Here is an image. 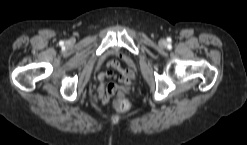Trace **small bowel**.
<instances>
[{
    "mask_svg": "<svg viewBox=\"0 0 247 145\" xmlns=\"http://www.w3.org/2000/svg\"><path fill=\"white\" fill-rule=\"evenodd\" d=\"M106 67H110L119 71V75L116 76L112 72H100L97 76L99 82V96L103 104H107L110 100V96L114 93H117L119 96H124L125 91L129 88L131 80L134 78V73L130 69H123L120 66V63L116 60L110 61ZM106 78H114L118 80L117 84H112L109 87H112L114 92L112 94L108 93V88L105 87L104 82Z\"/></svg>",
    "mask_w": 247,
    "mask_h": 145,
    "instance_id": "c3829d8e",
    "label": "small bowel"
}]
</instances>
